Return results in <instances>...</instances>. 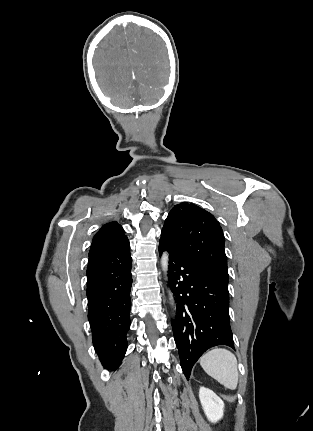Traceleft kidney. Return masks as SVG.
Returning <instances> with one entry per match:
<instances>
[{
	"mask_svg": "<svg viewBox=\"0 0 313 431\" xmlns=\"http://www.w3.org/2000/svg\"><path fill=\"white\" fill-rule=\"evenodd\" d=\"M199 399L208 420L216 423L223 417L224 402L212 390L200 387Z\"/></svg>",
	"mask_w": 313,
	"mask_h": 431,
	"instance_id": "1",
	"label": "left kidney"
}]
</instances>
